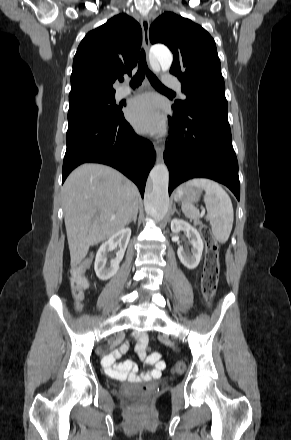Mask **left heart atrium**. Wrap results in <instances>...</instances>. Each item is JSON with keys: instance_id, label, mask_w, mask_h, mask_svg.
<instances>
[{"instance_id": "1", "label": "left heart atrium", "mask_w": 291, "mask_h": 440, "mask_svg": "<svg viewBox=\"0 0 291 440\" xmlns=\"http://www.w3.org/2000/svg\"><path fill=\"white\" fill-rule=\"evenodd\" d=\"M131 124L141 132L156 131L162 122L154 99L150 96H141L134 99L126 112Z\"/></svg>"}]
</instances>
